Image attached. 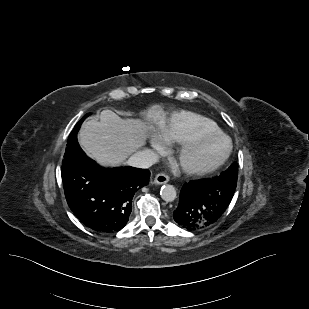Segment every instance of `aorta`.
Here are the masks:
<instances>
[{
  "label": "aorta",
  "mask_w": 309,
  "mask_h": 309,
  "mask_svg": "<svg viewBox=\"0 0 309 309\" xmlns=\"http://www.w3.org/2000/svg\"><path fill=\"white\" fill-rule=\"evenodd\" d=\"M176 189L173 185H163L160 190L161 198L166 202H172L176 198Z\"/></svg>",
  "instance_id": "1"
}]
</instances>
